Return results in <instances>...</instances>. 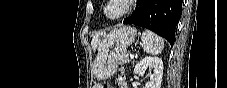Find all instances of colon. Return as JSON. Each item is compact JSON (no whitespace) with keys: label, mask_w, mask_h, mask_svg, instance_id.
<instances>
[{"label":"colon","mask_w":227,"mask_h":88,"mask_svg":"<svg viewBox=\"0 0 227 88\" xmlns=\"http://www.w3.org/2000/svg\"><path fill=\"white\" fill-rule=\"evenodd\" d=\"M95 88H108V85L105 84L96 85Z\"/></svg>","instance_id":"obj_1"}]
</instances>
